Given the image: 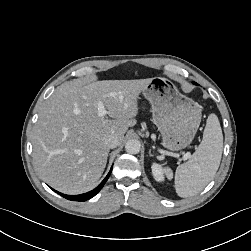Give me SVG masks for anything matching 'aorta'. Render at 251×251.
Returning a JSON list of instances; mask_svg holds the SVG:
<instances>
[{"mask_svg": "<svg viewBox=\"0 0 251 251\" xmlns=\"http://www.w3.org/2000/svg\"><path fill=\"white\" fill-rule=\"evenodd\" d=\"M141 149L140 141L137 139H130L125 144V150L129 154H137Z\"/></svg>", "mask_w": 251, "mask_h": 251, "instance_id": "obj_1", "label": "aorta"}]
</instances>
